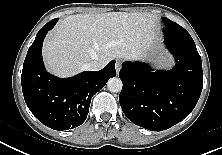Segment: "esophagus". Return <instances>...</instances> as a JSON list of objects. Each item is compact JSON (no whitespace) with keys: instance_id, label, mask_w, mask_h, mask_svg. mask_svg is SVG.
<instances>
[{"instance_id":"obj_1","label":"esophagus","mask_w":222,"mask_h":155,"mask_svg":"<svg viewBox=\"0 0 222 155\" xmlns=\"http://www.w3.org/2000/svg\"><path fill=\"white\" fill-rule=\"evenodd\" d=\"M115 68H116V72H117V74L119 73V71L121 70V68H122V65H121V63L120 62H116V65H115Z\"/></svg>"}]
</instances>
